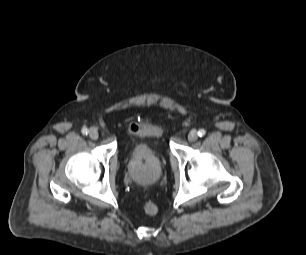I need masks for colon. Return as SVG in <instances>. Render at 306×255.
I'll list each match as a JSON object with an SVG mask.
<instances>
[{
  "instance_id": "obj_1",
  "label": "colon",
  "mask_w": 306,
  "mask_h": 255,
  "mask_svg": "<svg viewBox=\"0 0 306 255\" xmlns=\"http://www.w3.org/2000/svg\"><path fill=\"white\" fill-rule=\"evenodd\" d=\"M143 208L148 215H154L157 212V206L152 201H146Z\"/></svg>"
}]
</instances>
